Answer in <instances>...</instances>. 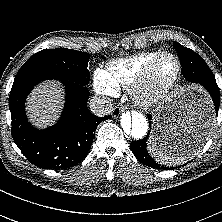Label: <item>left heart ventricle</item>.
Segmentation results:
<instances>
[{"label":"left heart ventricle","mask_w":222,"mask_h":222,"mask_svg":"<svg viewBox=\"0 0 222 222\" xmlns=\"http://www.w3.org/2000/svg\"><path fill=\"white\" fill-rule=\"evenodd\" d=\"M175 71L176 63L173 58L165 57L161 59L153 70L151 87L158 88L165 84L174 76Z\"/></svg>","instance_id":"1"}]
</instances>
